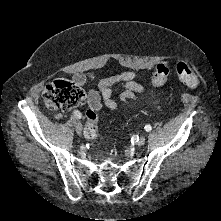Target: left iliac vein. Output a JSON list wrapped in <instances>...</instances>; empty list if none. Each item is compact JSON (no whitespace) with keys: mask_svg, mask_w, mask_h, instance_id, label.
Here are the masks:
<instances>
[{"mask_svg":"<svg viewBox=\"0 0 221 221\" xmlns=\"http://www.w3.org/2000/svg\"><path fill=\"white\" fill-rule=\"evenodd\" d=\"M145 140H146V138H145L144 136H141V137L139 138V140L136 142V145H137V146H142V145H144Z\"/></svg>","mask_w":221,"mask_h":221,"instance_id":"1","label":"left iliac vein"}]
</instances>
